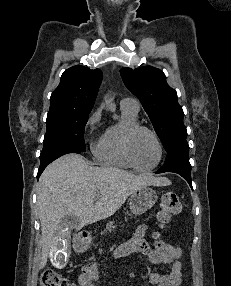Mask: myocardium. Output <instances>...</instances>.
Here are the masks:
<instances>
[{
  "label": "myocardium",
  "mask_w": 231,
  "mask_h": 286,
  "mask_svg": "<svg viewBox=\"0 0 231 286\" xmlns=\"http://www.w3.org/2000/svg\"><path fill=\"white\" fill-rule=\"evenodd\" d=\"M141 131L148 132L153 137V139L155 140L157 148H158V159L155 162V164H153L151 167H148V168L139 167L136 164V162L133 158V155H132V149H131L132 140H133L134 136ZM123 152H124V155H125L127 161L129 162L130 166L133 169H135L136 171L142 172V173H148V172L153 171L154 169H156L160 165V163L163 159L164 149H163V144H162L158 134L153 129H151L150 127L141 125V124H136V125H132V126L128 127L124 132V135H123Z\"/></svg>",
  "instance_id": "1"
}]
</instances>
